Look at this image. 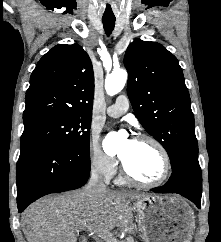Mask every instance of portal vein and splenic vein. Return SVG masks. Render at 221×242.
Masks as SVG:
<instances>
[{
    "mask_svg": "<svg viewBox=\"0 0 221 242\" xmlns=\"http://www.w3.org/2000/svg\"><path fill=\"white\" fill-rule=\"evenodd\" d=\"M88 231H94V232L97 233V235L99 237H102V238H108V234H109L108 231H106L104 229H102V230H94L92 228H88Z\"/></svg>",
    "mask_w": 221,
    "mask_h": 242,
    "instance_id": "18ae733b",
    "label": "portal vein and splenic vein"
}]
</instances>
